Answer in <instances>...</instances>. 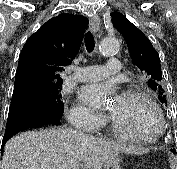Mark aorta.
<instances>
[{"instance_id":"obj_1","label":"aorta","mask_w":177,"mask_h":169,"mask_svg":"<svg viewBox=\"0 0 177 169\" xmlns=\"http://www.w3.org/2000/svg\"><path fill=\"white\" fill-rule=\"evenodd\" d=\"M119 50V42L115 37L103 39L99 45V52L104 56L115 55Z\"/></svg>"}]
</instances>
